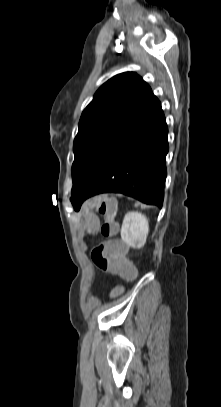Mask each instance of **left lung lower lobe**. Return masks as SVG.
I'll list each match as a JSON object with an SVG mask.
<instances>
[{"instance_id":"1","label":"left lung lower lobe","mask_w":221,"mask_h":407,"mask_svg":"<svg viewBox=\"0 0 221 407\" xmlns=\"http://www.w3.org/2000/svg\"><path fill=\"white\" fill-rule=\"evenodd\" d=\"M167 135L161 104L153 94L71 200L74 209L78 211L84 200L105 192L123 193L161 208L167 176Z\"/></svg>"}]
</instances>
